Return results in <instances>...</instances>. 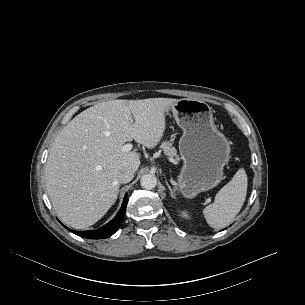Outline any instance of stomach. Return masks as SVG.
<instances>
[{
    "label": "stomach",
    "instance_id": "obj_1",
    "mask_svg": "<svg viewBox=\"0 0 305 305\" xmlns=\"http://www.w3.org/2000/svg\"><path fill=\"white\" fill-rule=\"evenodd\" d=\"M169 109L183 130L179 140L183 167L177 177L178 191L186 198H194L220 183L230 144L217 129L212 108L204 101L179 99Z\"/></svg>",
    "mask_w": 305,
    "mask_h": 305
}]
</instances>
